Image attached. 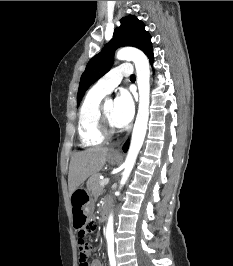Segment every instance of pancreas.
Instances as JSON below:
<instances>
[{
	"label": "pancreas",
	"instance_id": "cf45deb5",
	"mask_svg": "<svg viewBox=\"0 0 233 266\" xmlns=\"http://www.w3.org/2000/svg\"><path fill=\"white\" fill-rule=\"evenodd\" d=\"M100 182L101 180L99 176L96 174L87 183V189L91 191L92 195H94L95 197L99 196L103 191L104 186H101Z\"/></svg>",
	"mask_w": 233,
	"mask_h": 266
}]
</instances>
